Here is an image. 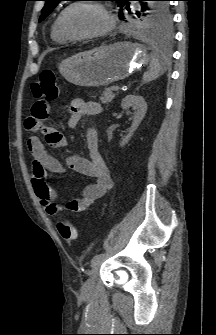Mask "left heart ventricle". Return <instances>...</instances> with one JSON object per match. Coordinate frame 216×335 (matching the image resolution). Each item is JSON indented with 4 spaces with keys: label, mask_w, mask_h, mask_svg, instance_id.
Instances as JSON below:
<instances>
[{
    "label": "left heart ventricle",
    "mask_w": 216,
    "mask_h": 335,
    "mask_svg": "<svg viewBox=\"0 0 216 335\" xmlns=\"http://www.w3.org/2000/svg\"><path fill=\"white\" fill-rule=\"evenodd\" d=\"M64 25L72 34H87L104 29L107 20L98 8L81 5L74 7L66 14Z\"/></svg>",
    "instance_id": "1"
}]
</instances>
